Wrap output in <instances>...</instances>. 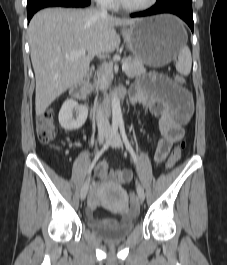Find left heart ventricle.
Returning a JSON list of instances; mask_svg holds the SVG:
<instances>
[{"label":"left heart ventricle","mask_w":227,"mask_h":265,"mask_svg":"<svg viewBox=\"0 0 227 265\" xmlns=\"http://www.w3.org/2000/svg\"><path fill=\"white\" fill-rule=\"evenodd\" d=\"M127 5L139 6L147 3L149 0H123Z\"/></svg>","instance_id":"left-heart-ventricle-1"}]
</instances>
